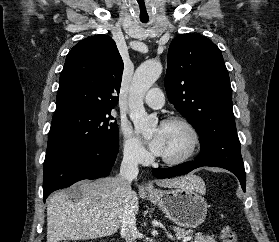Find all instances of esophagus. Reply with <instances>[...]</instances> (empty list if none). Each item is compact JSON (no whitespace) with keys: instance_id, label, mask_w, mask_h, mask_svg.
Listing matches in <instances>:
<instances>
[{"instance_id":"34e87169","label":"esophagus","mask_w":279,"mask_h":242,"mask_svg":"<svg viewBox=\"0 0 279 242\" xmlns=\"http://www.w3.org/2000/svg\"><path fill=\"white\" fill-rule=\"evenodd\" d=\"M143 190H144V191H153L154 188H153V185H152V184H150V183H145V184L143 185Z\"/></svg>"}]
</instances>
